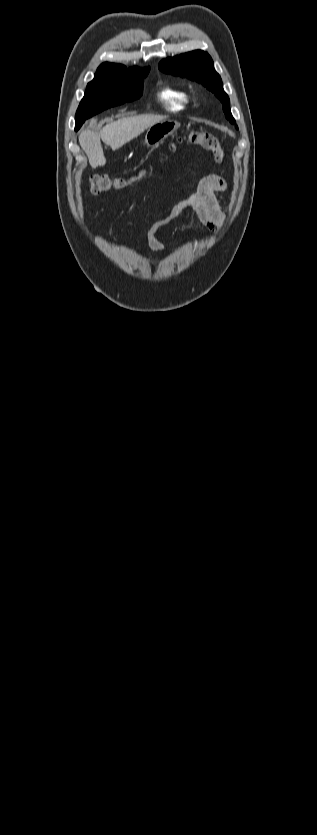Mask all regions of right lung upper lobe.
I'll return each mask as SVG.
<instances>
[{
	"label": "right lung upper lobe",
	"instance_id": "cb5924a9",
	"mask_svg": "<svg viewBox=\"0 0 317 835\" xmlns=\"http://www.w3.org/2000/svg\"><path fill=\"white\" fill-rule=\"evenodd\" d=\"M119 70L136 71V70H140V69H138V68H136V67H133V68H132V67H130L129 69H127V68H126V66L121 65V64H115V63H108V62H105V63H102V64L98 67V69H97V72H96L95 76H101V75H104V74H106V73H110V72H114V71H119Z\"/></svg>",
	"mask_w": 317,
	"mask_h": 835
}]
</instances>
